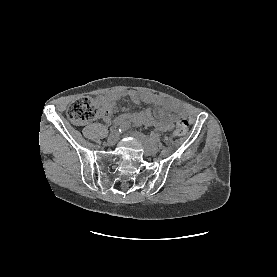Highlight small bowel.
Listing matches in <instances>:
<instances>
[{
    "label": "small bowel",
    "mask_w": 277,
    "mask_h": 277,
    "mask_svg": "<svg viewBox=\"0 0 277 277\" xmlns=\"http://www.w3.org/2000/svg\"><path fill=\"white\" fill-rule=\"evenodd\" d=\"M128 96L135 103L144 101L152 105L153 107L143 111L123 113L113 120L115 124L118 125L128 120L135 124L155 125L159 129L164 131L170 128L171 123L175 118L173 114L168 113V111H171L174 108V105L170 101L152 94H141L136 91H129ZM122 97L123 93L120 92L108 93L101 97V102L103 103L105 108L103 119L106 122L112 121L111 115L114 103Z\"/></svg>",
    "instance_id": "1"
}]
</instances>
